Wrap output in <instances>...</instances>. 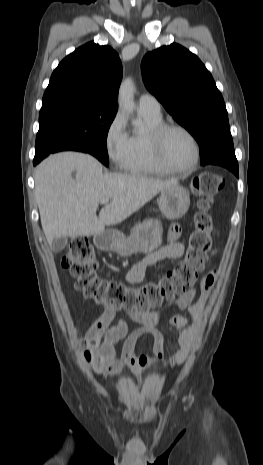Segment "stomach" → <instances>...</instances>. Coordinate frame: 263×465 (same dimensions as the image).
Returning a JSON list of instances; mask_svg holds the SVG:
<instances>
[{"label": "stomach", "instance_id": "obj_1", "mask_svg": "<svg viewBox=\"0 0 263 465\" xmlns=\"http://www.w3.org/2000/svg\"><path fill=\"white\" fill-rule=\"evenodd\" d=\"M162 214L168 219H178L186 214L190 206L188 191L175 185L161 191L157 200ZM162 228L158 220L146 219L136 224L129 237L118 231H103L94 236L95 245L102 250H111L122 257L138 252L150 253L161 244Z\"/></svg>", "mask_w": 263, "mask_h": 465}]
</instances>
